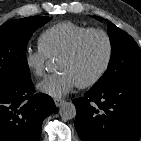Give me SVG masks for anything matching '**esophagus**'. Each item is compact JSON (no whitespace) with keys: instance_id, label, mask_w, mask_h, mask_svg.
<instances>
[{"instance_id":"esophagus-1","label":"esophagus","mask_w":141,"mask_h":141,"mask_svg":"<svg viewBox=\"0 0 141 141\" xmlns=\"http://www.w3.org/2000/svg\"><path fill=\"white\" fill-rule=\"evenodd\" d=\"M54 102L57 107H60L65 101L63 99L56 98L54 99Z\"/></svg>"}]
</instances>
